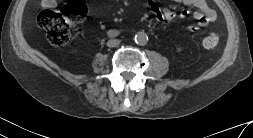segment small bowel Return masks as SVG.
Returning a JSON list of instances; mask_svg holds the SVG:
<instances>
[{"label": "small bowel", "instance_id": "1", "mask_svg": "<svg viewBox=\"0 0 253 138\" xmlns=\"http://www.w3.org/2000/svg\"><path fill=\"white\" fill-rule=\"evenodd\" d=\"M184 2L191 4L197 8V11L193 15L194 19L196 20V24L188 26L189 31H198L215 19V12L209 7L205 0H184ZM148 3L152 12L156 16V19L160 23L171 21L176 18L182 22L190 14V10L187 8L183 9L180 14H177L175 11L168 8L161 9L154 0H149ZM55 4L56 0H42V5L47 8L53 7Z\"/></svg>", "mask_w": 253, "mask_h": 138}]
</instances>
